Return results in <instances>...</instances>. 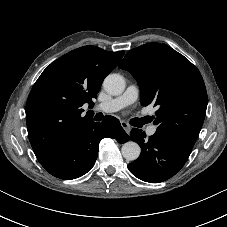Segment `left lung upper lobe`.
Segmentation results:
<instances>
[{"label": "left lung upper lobe", "instance_id": "obj_1", "mask_svg": "<svg viewBox=\"0 0 227 227\" xmlns=\"http://www.w3.org/2000/svg\"><path fill=\"white\" fill-rule=\"evenodd\" d=\"M119 67L139 83L141 104L158 107L156 131L192 149L207 108V92L199 70L171 47L154 42L130 50Z\"/></svg>", "mask_w": 227, "mask_h": 227}]
</instances>
